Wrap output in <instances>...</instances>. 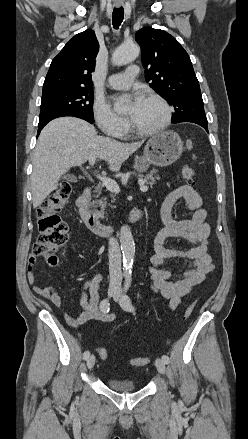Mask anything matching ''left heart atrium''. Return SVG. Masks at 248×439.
Instances as JSON below:
<instances>
[{
	"label": "left heart atrium",
	"mask_w": 248,
	"mask_h": 439,
	"mask_svg": "<svg viewBox=\"0 0 248 439\" xmlns=\"http://www.w3.org/2000/svg\"><path fill=\"white\" fill-rule=\"evenodd\" d=\"M143 100H144V99H143L140 95L135 94V95L133 96V101H132V105H131V109H132V111L137 110L138 107L141 105V103H142Z\"/></svg>",
	"instance_id": "1"
}]
</instances>
